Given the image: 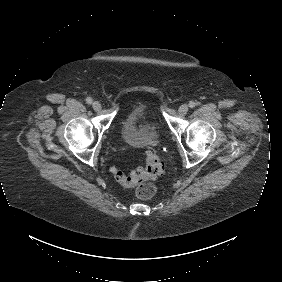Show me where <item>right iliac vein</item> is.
Listing matches in <instances>:
<instances>
[{"label": "right iliac vein", "mask_w": 282, "mask_h": 282, "mask_svg": "<svg viewBox=\"0 0 282 282\" xmlns=\"http://www.w3.org/2000/svg\"><path fill=\"white\" fill-rule=\"evenodd\" d=\"M92 107H93V109H94L95 111H100V110H101V104H100V102H98V101H94V102L92 103Z\"/></svg>", "instance_id": "1"}]
</instances>
